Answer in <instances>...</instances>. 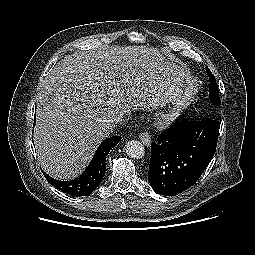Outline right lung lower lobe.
Returning a JSON list of instances; mask_svg holds the SVG:
<instances>
[{
  "label": "right lung lower lobe",
  "mask_w": 255,
  "mask_h": 255,
  "mask_svg": "<svg viewBox=\"0 0 255 255\" xmlns=\"http://www.w3.org/2000/svg\"><path fill=\"white\" fill-rule=\"evenodd\" d=\"M120 140L121 136H113L104 140L86 171L80 177L71 181H58L44 173L47 181L57 189L72 196L90 195L105 175V161L108 153Z\"/></svg>",
  "instance_id": "98d812e1"
}]
</instances>
